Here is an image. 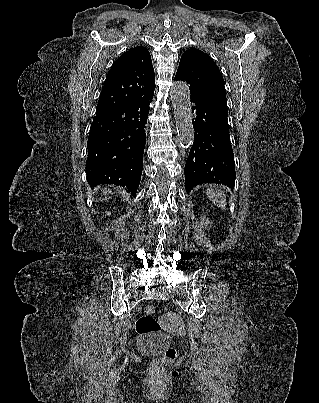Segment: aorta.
Listing matches in <instances>:
<instances>
[{"label": "aorta", "instance_id": "1", "mask_svg": "<svg viewBox=\"0 0 319 403\" xmlns=\"http://www.w3.org/2000/svg\"><path fill=\"white\" fill-rule=\"evenodd\" d=\"M170 96L176 121L177 140L183 148H188L194 141L189 88L185 82L175 81L170 88Z\"/></svg>", "mask_w": 319, "mask_h": 403}]
</instances>
